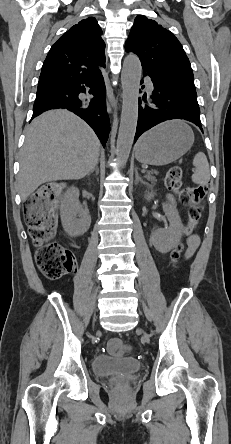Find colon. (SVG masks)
Wrapping results in <instances>:
<instances>
[{
	"mask_svg": "<svg viewBox=\"0 0 231 444\" xmlns=\"http://www.w3.org/2000/svg\"><path fill=\"white\" fill-rule=\"evenodd\" d=\"M183 169L171 167L165 177L168 189L178 194L182 204L189 206L188 222L185 234L190 235L198 225L202 213V201L208 191L206 185L193 187L182 186ZM61 185L55 182L46 184L30 196L25 205V220L30 237L37 246L36 262L43 275L50 280H57L71 272L74 257L70 250L54 241L57 227L55 213L56 203L60 196ZM183 251L178 244L171 252V259L177 262ZM128 349L127 344L119 339H111L108 350L113 355H123Z\"/></svg>",
	"mask_w": 231,
	"mask_h": 444,
	"instance_id": "5ec220e1",
	"label": "colon"
}]
</instances>
